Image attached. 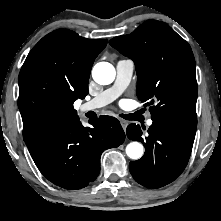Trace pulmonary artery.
I'll list each match as a JSON object with an SVG mask.
<instances>
[{"label": "pulmonary artery", "mask_w": 221, "mask_h": 221, "mask_svg": "<svg viewBox=\"0 0 221 221\" xmlns=\"http://www.w3.org/2000/svg\"><path fill=\"white\" fill-rule=\"evenodd\" d=\"M134 71V62L131 59H121L116 64V79L114 84L84 103L80 107L81 112L93 111L113 102L128 87ZM153 121L147 120V125L151 126Z\"/></svg>", "instance_id": "1"}]
</instances>
